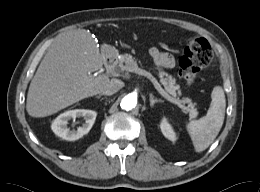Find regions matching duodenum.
Here are the masks:
<instances>
[{"label":"duodenum","mask_w":260,"mask_h":192,"mask_svg":"<svg viewBox=\"0 0 260 192\" xmlns=\"http://www.w3.org/2000/svg\"><path fill=\"white\" fill-rule=\"evenodd\" d=\"M116 62H117V57L115 55H107L105 58V65L108 69L114 67Z\"/></svg>","instance_id":"duodenum-1"}]
</instances>
